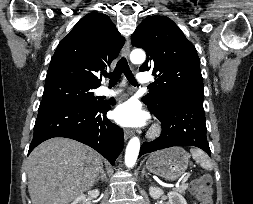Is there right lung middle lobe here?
Segmentation results:
<instances>
[{
  "instance_id": "right-lung-middle-lobe-1",
  "label": "right lung middle lobe",
  "mask_w": 253,
  "mask_h": 204,
  "mask_svg": "<svg viewBox=\"0 0 253 204\" xmlns=\"http://www.w3.org/2000/svg\"><path fill=\"white\" fill-rule=\"evenodd\" d=\"M93 89L96 88L68 81L45 83L40 105L73 103L94 106L98 104V101L92 92Z\"/></svg>"
}]
</instances>
